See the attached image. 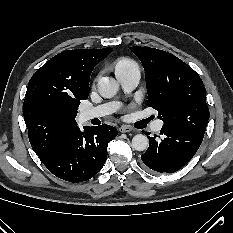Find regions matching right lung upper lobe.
Segmentation results:
<instances>
[{"mask_svg": "<svg viewBox=\"0 0 233 233\" xmlns=\"http://www.w3.org/2000/svg\"><path fill=\"white\" fill-rule=\"evenodd\" d=\"M112 48L66 50L39 68L29 81L23 115L30 144L39 156L78 127L80 101L88 98L93 68Z\"/></svg>", "mask_w": 233, "mask_h": 233, "instance_id": "cb5924a9", "label": "right lung upper lobe"}]
</instances>
